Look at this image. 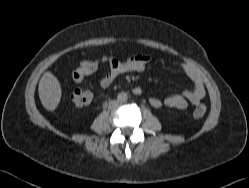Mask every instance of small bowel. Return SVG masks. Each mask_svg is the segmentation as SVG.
I'll list each match as a JSON object with an SVG mask.
<instances>
[{
  "instance_id": "small-bowel-1",
  "label": "small bowel",
  "mask_w": 249,
  "mask_h": 188,
  "mask_svg": "<svg viewBox=\"0 0 249 188\" xmlns=\"http://www.w3.org/2000/svg\"><path fill=\"white\" fill-rule=\"evenodd\" d=\"M150 58L145 55H134L125 60H120L117 57H111L108 60V71L101 79L100 85L106 88L121 74L126 72H142ZM177 66L186 74L193 84V88L182 94H171L162 99L151 97L150 104L155 108L166 107L173 110L185 109L188 104L197 105L205 97L204 84L193 68L184 64L178 63ZM139 92V89H135Z\"/></svg>"
}]
</instances>
